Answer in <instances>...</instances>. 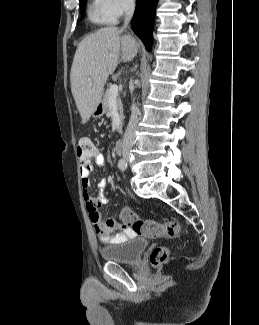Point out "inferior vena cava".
<instances>
[{
    "mask_svg": "<svg viewBox=\"0 0 259 325\" xmlns=\"http://www.w3.org/2000/svg\"><path fill=\"white\" fill-rule=\"evenodd\" d=\"M134 0H126L125 3V17H124V27H126L129 22L132 19L133 13H134ZM138 114H139V109L136 107L135 104L132 105L131 107V117L126 129V132L124 134V139H123V150L130 149L135 142V132L138 124Z\"/></svg>",
    "mask_w": 259,
    "mask_h": 325,
    "instance_id": "inferior-vena-cava-1",
    "label": "inferior vena cava"
}]
</instances>
